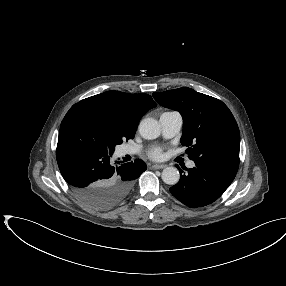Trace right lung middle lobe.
<instances>
[{
    "instance_id": "right-lung-middle-lobe-1",
    "label": "right lung middle lobe",
    "mask_w": 286,
    "mask_h": 286,
    "mask_svg": "<svg viewBox=\"0 0 286 286\" xmlns=\"http://www.w3.org/2000/svg\"><path fill=\"white\" fill-rule=\"evenodd\" d=\"M62 123L74 127L86 138L102 146L109 154H113L115 146L121 144L123 140L134 138L119 131L114 119L88 107L73 105Z\"/></svg>"
}]
</instances>
